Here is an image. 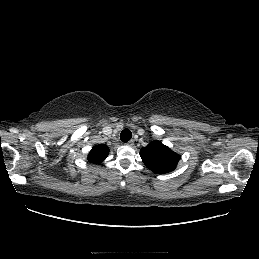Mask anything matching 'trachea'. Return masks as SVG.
I'll use <instances>...</instances> for the list:
<instances>
[{
	"mask_svg": "<svg viewBox=\"0 0 259 259\" xmlns=\"http://www.w3.org/2000/svg\"><path fill=\"white\" fill-rule=\"evenodd\" d=\"M132 138V132L129 129H124L120 134L122 142H128Z\"/></svg>",
	"mask_w": 259,
	"mask_h": 259,
	"instance_id": "obj_1",
	"label": "trachea"
}]
</instances>
